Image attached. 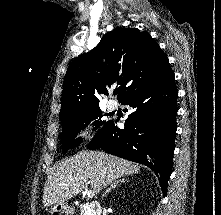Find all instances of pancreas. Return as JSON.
<instances>
[{
    "instance_id": "1",
    "label": "pancreas",
    "mask_w": 221,
    "mask_h": 215,
    "mask_svg": "<svg viewBox=\"0 0 221 215\" xmlns=\"http://www.w3.org/2000/svg\"><path fill=\"white\" fill-rule=\"evenodd\" d=\"M80 215H88V212L85 209H81Z\"/></svg>"
}]
</instances>
